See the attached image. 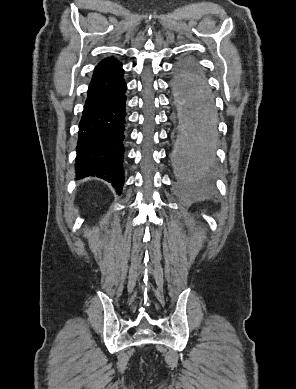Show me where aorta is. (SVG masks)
I'll list each match as a JSON object with an SVG mask.
<instances>
[{"instance_id":"aorta-1","label":"aorta","mask_w":296,"mask_h":389,"mask_svg":"<svg viewBox=\"0 0 296 389\" xmlns=\"http://www.w3.org/2000/svg\"><path fill=\"white\" fill-rule=\"evenodd\" d=\"M172 94L175 99L178 132L170 154L173 167H181L185 183H196L216 162L215 94L209 81H201L200 72H175Z\"/></svg>"}]
</instances>
